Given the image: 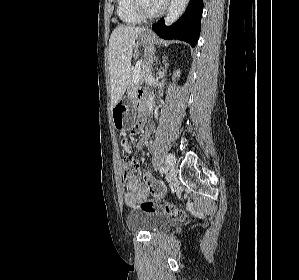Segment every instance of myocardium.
<instances>
[{"label":"myocardium","instance_id":"myocardium-1","mask_svg":"<svg viewBox=\"0 0 299 280\" xmlns=\"http://www.w3.org/2000/svg\"><path fill=\"white\" fill-rule=\"evenodd\" d=\"M131 6L134 13L142 20H151L160 17L166 10L167 1L163 2L162 6L153 13L144 10L141 0H131Z\"/></svg>","mask_w":299,"mask_h":280}]
</instances>
